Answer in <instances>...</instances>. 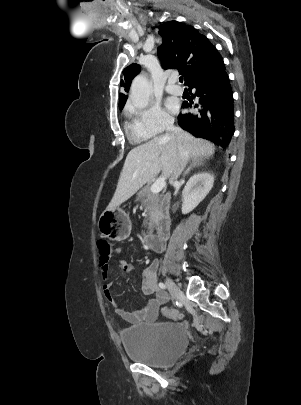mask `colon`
<instances>
[{
    "instance_id": "colon-1",
    "label": "colon",
    "mask_w": 301,
    "mask_h": 405,
    "mask_svg": "<svg viewBox=\"0 0 301 405\" xmlns=\"http://www.w3.org/2000/svg\"><path fill=\"white\" fill-rule=\"evenodd\" d=\"M97 247H98L100 256L108 257L111 254V246L107 241L99 240L97 242ZM162 312L165 316H167L173 320H176V321L181 320L183 318V314L177 310L163 308Z\"/></svg>"
}]
</instances>
